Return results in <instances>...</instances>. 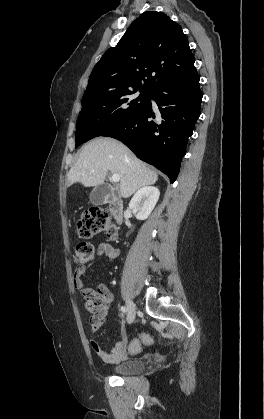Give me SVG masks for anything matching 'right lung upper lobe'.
Instances as JSON below:
<instances>
[{"mask_svg":"<svg viewBox=\"0 0 264 419\" xmlns=\"http://www.w3.org/2000/svg\"><path fill=\"white\" fill-rule=\"evenodd\" d=\"M195 73L194 56L182 28L162 12H145L96 64L84 97L135 88L150 91Z\"/></svg>","mask_w":264,"mask_h":419,"instance_id":"cb5924a9","label":"right lung upper lobe"}]
</instances>
